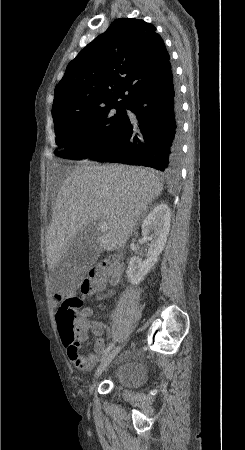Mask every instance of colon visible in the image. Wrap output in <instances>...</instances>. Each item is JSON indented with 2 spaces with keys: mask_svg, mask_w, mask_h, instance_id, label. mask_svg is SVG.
Instances as JSON below:
<instances>
[{
  "mask_svg": "<svg viewBox=\"0 0 245 450\" xmlns=\"http://www.w3.org/2000/svg\"><path fill=\"white\" fill-rule=\"evenodd\" d=\"M124 269V261L117 255H111L107 260L93 266L83 277L81 291L88 293L95 287L105 285L108 281L119 278ZM60 300V306L56 313L57 330L66 343H76L79 333L86 335L85 324L79 320L75 312V301L56 295ZM78 361L80 358L78 357Z\"/></svg>",
  "mask_w": 245,
  "mask_h": 450,
  "instance_id": "colon-1",
  "label": "colon"
}]
</instances>
